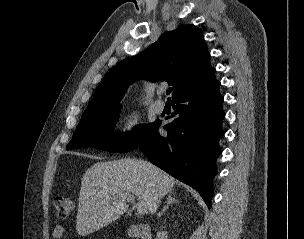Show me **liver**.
<instances>
[{
  "label": "liver",
  "mask_w": 304,
  "mask_h": 239,
  "mask_svg": "<svg viewBox=\"0 0 304 239\" xmlns=\"http://www.w3.org/2000/svg\"><path fill=\"white\" fill-rule=\"evenodd\" d=\"M175 179L141 159L97 162L83 175L79 193L76 229L79 235L93 233L122 216L125 202L112 199L119 193H132L156 212L160 200L171 192Z\"/></svg>",
  "instance_id": "liver-1"
}]
</instances>
